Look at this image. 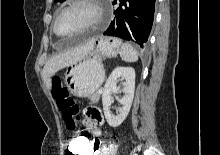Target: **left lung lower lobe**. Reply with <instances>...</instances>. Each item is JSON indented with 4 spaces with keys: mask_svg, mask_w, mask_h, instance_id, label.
<instances>
[{
    "mask_svg": "<svg viewBox=\"0 0 220 155\" xmlns=\"http://www.w3.org/2000/svg\"><path fill=\"white\" fill-rule=\"evenodd\" d=\"M120 3L114 11V20L104 35L120 37L146 46L155 10V0H114Z\"/></svg>",
    "mask_w": 220,
    "mask_h": 155,
    "instance_id": "obj_1",
    "label": "left lung lower lobe"
}]
</instances>
